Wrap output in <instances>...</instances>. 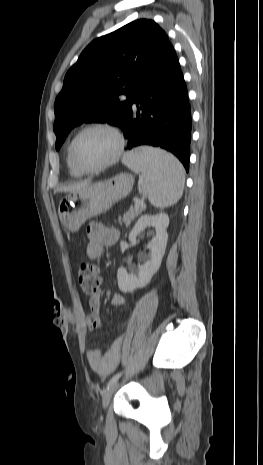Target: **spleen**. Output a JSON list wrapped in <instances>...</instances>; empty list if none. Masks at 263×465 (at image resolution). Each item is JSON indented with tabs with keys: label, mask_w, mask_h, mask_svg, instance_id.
<instances>
[{
	"label": "spleen",
	"mask_w": 263,
	"mask_h": 465,
	"mask_svg": "<svg viewBox=\"0 0 263 465\" xmlns=\"http://www.w3.org/2000/svg\"><path fill=\"white\" fill-rule=\"evenodd\" d=\"M123 163L139 173L142 190L153 206L165 208L181 198L185 171L172 154L158 148L141 147L128 152Z\"/></svg>",
	"instance_id": "obj_1"
}]
</instances>
